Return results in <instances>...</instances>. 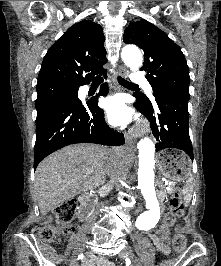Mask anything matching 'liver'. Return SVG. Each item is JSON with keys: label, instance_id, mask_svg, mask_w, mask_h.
<instances>
[{"label": "liver", "instance_id": "6515ba94", "mask_svg": "<svg viewBox=\"0 0 221 266\" xmlns=\"http://www.w3.org/2000/svg\"><path fill=\"white\" fill-rule=\"evenodd\" d=\"M111 152L125 165L131 157L123 147L107 150L93 144L67 146L37 167L34 188L40 212L45 216L60 203L95 189L106 181L105 154Z\"/></svg>", "mask_w": 221, "mask_h": 266}]
</instances>
